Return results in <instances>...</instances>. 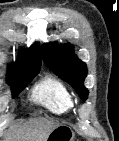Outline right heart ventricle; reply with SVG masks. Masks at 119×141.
<instances>
[{
    "mask_svg": "<svg viewBox=\"0 0 119 141\" xmlns=\"http://www.w3.org/2000/svg\"><path fill=\"white\" fill-rule=\"evenodd\" d=\"M32 99L56 115L67 114L74 105L72 95L65 83L54 76H47L35 85Z\"/></svg>",
    "mask_w": 119,
    "mask_h": 141,
    "instance_id": "right-heart-ventricle-1",
    "label": "right heart ventricle"
}]
</instances>
